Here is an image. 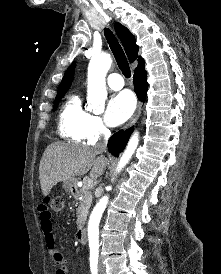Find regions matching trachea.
Returning a JSON list of instances; mask_svg holds the SVG:
<instances>
[{
	"label": "trachea",
	"mask_w": 221,
	"mask_h": 274,
	"mask_svg": "<svg viewBox=\"0 0 221 274\" xmlns=\"http://www.w3.org/2000/svg\"><path fill=\"white\" fill-rule=\"evenodd\" d=\"M104 35L106 37V40L109 44V47L111 48V51L116 59V62L118 64V67L122 71L123 75L126 78H130L131 71L129 67V63L127 61V58L125 56V53L119 44L117 38L113 34V32L110 29H105Z\"/></svg>",
	"instance_id": "trachea-1"
}]
</instances>
